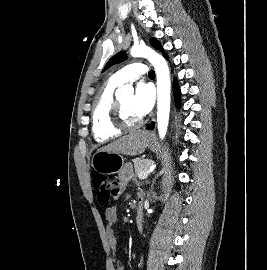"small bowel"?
Masks as SVG:
<instances>
[{
	"label": "small bowel",
	"instance_id": "obj_1",
	"mask_svg": "<svg viewBox=\"0 0 267 270\" xmlns=\"http://www.w3.org/2000/svg\"><path fill=\"white\" fill-rule=\"evenodd\" d=\"M133 178L132 169L130 166H125L119 174V180L121 187L124 188L127 183ZM118 218L117 209L115 207H109L105 210V219L108 224L107 226V238L109 247L112 252L111 262L114 270H123L121 262L117 259V237L113 225L116 223Z\"/></svg>",
	"mask_w": 267,
	"mask_h": 270
}]
</instances>
